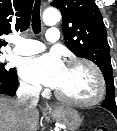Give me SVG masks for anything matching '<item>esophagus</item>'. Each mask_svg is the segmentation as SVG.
<instances>
[{
	"label": "esophagus",
	"instance_id": "34e87169",
	"mask_svg": "<svg viewBox=\"0 0 117 131\" xmlns=\"http://www.w3.org/2000/svg\"><path fill=\"white\" fill-rule=\"evenodd\" d=\"M48 108H49V106L47 105V106H46V109H48Z\"/></svg>",
	"mask_w": 117,
	"mask_h": 131
}]
</instances>
